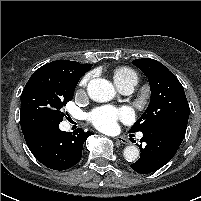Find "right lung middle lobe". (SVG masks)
<instances>
[{"label": "right lung middle lobe", "mask_w": 201, "mask_h": 201, "mask_svg": "<svg viewBox=\"0 0 201 201\" xmlns=\"http://www.w3.org/2000/svg\"><path fill=\"white\" fill-rule=\"evenodd\" d=\"M91 66L59 67L48 63L37 69L21 94L22 132L43 125H59L65 115L61 111L63 106L73 99L79 79Z\"/></svg>", "instance_id": "dd1d6c3e"}]
</instances>
